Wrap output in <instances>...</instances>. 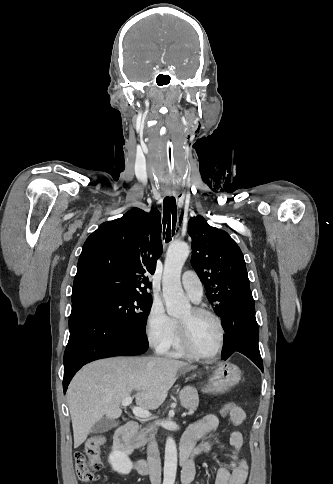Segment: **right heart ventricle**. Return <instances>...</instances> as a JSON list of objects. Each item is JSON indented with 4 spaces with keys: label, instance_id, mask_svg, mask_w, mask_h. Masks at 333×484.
I'll list each match as a JSON object with an SVG mask.
<instances>
[{
    "label": "right heart ventricle",
    "instance_id": "right-heart-ventricle-1",
    "mask_svg": "<svg viewBox=\"0 0 333 484\" xmlns=\"http://www.w3.org/2000/svg\"><path fill=\"white\" fill-rule=\"evenodd\" d=\"M164 353L170 357H175V358L184 357L188 355L181 345L176 321H174V331H173L172 341L169 347L164 351Z\"/></svg>",
    "mask_w": 333,
    "mask_h": 484
}]
</instances>
